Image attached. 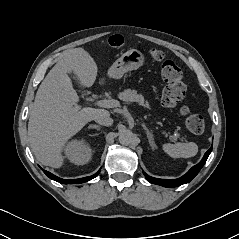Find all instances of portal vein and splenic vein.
I'll return each instance as SVG.
<instances>
[{
    "label": "portal vein and splenic vein",
    "mask_w": 239,
    "mask_h": 239,
    "mask_svg": "<svg viewBox=\"0 0 239 239\" xmlns=\"http://www.w3.org/2000/svg\"><path fill=\"white\" fill-rule=\"evenodd\" d=\"M96 104L100 107H104V108H114L119 106V101L117 100H108V99H104V100H98L96 101ZM76 109H78V107H76ZM173 136H169V139L172 140Z\"/></svg>",
    "instance_id": "portal-vein-and-splenic-vein-1"
}]
</instances>
